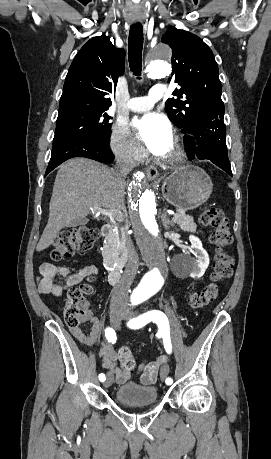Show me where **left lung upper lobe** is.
Returning a JSON list of instances; mask_svg holds the SVG:
<instances>
[{"mask_svg":"<svg viewBox=\"0 0 271 459\" xmlns=\"http://www.w3.org/2000/svg\"><path fill=\"white\" fill-rule=\"evenodd\" d=\"M161 40L172 48V77L181 86L173 92L178 98L167 100L165 111L183 133L196 139L198 128L224 117L218 65L211 49L190 32L171 26ZM186 148L194 153L195 143L186 142Z\"/></svg>","mask_w":271,"mask_h":459,"instance_id":"5c2ea615","label":"left lung upper lobe"}]
</instances>
